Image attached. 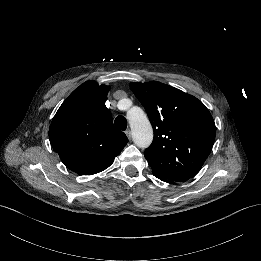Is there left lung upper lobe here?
Listing matches in <instances>:
<instances>
[{
  "mask_svg": "<svg viewBox=\"0 0 261 261\" xmlns=\"http://www.w3.org/2000/svg\"><path fill=\"white\" fill-rule=\"evenodd\" d=\"M154 129L144 152L153 174L174 181L195 176L211 152L215 123L192 95L160 82L131 83Z\"/></svg>",
  "mask_w": 261,
  "mask_h": 261,
  "instance_id": "1",
  "label": "left lung upper lobe"
}]
</instances>
